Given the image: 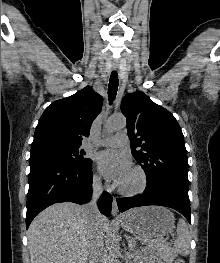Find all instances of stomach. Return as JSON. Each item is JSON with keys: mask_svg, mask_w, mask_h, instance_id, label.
Here are the masks:
<instances>
[{"mask_svg": "<svg viewBox=\"0 0 220 263\" xmlns=\"http://www.w3.org/2000/svg\"><path fill=\"white\" fill-rule=\"evenodd\" d=\"M124 230L144 240L163 237L175 228L173 214L161 206H146L130 210L122 215Z\"/></svg>", "mask_w": 220, "mask_h": 263, "instance_id": "0dacf381", "label": "stomach"}]
</instances>
